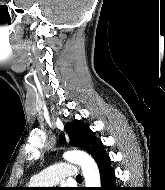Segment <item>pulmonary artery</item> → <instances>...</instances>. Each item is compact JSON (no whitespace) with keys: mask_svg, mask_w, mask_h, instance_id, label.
Wrapping results in <instances>:
<instances>
[{"mask_svg":"<svg viewBox=\"0 0 165 190\" xmlns=\"http://www.w3.org/2000/svg\"><path fill=\"white\" fill-rule=\"evenodd\" d=\"M79 169L76 165L67 162L56 163L32 178V182L39 186H51L59 183L66 178H76Z\"/></svg>","mask_w":165,"mask_h":190,"instance_id":"pulmonary-artery-1","label":"pulmonary artery"}]
</instances>
